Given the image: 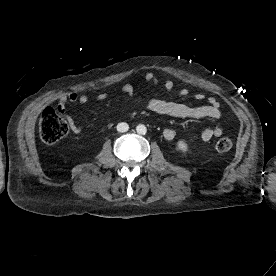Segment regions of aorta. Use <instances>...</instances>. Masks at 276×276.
<instances>
[{
    "mask_svg": "<svg viewBox=\"0 0 276 276\" xmlns=\"http://www.w3.org/2000/svg\"><path fill=\"white\" fill-rule=\"evenodd\" d=\"M136 131H137L138 134H146L147 128H146L145 125L139 124V125H137V127H136Z\"/></svg>",
    "mask_w": 276,
    "mask_h": 276,
    "instance_id": "762f6f07",
    "label": "aorta"
}]
</instances>
